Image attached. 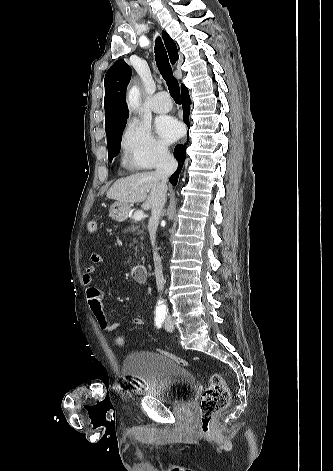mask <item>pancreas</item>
Wrapping results in <instances>:
<instances>
[{
  "label": "pancreas",
  "mask_w": 333,
  "mask_h": 471,
  "mask_svg": "<svg viewBox=\"0 0 333 471\" xmlns=\"http://www.w3.org/2000/svg\"><path fill=\"white\" fill-rule=\"evenodd\" d=\"M133 219V218H132ZM132 225L124 229V233H132L134 235H140L144 232V228H142L140 225H136V221L132 220L131 221ZM142 238V237H141ZM134 243H136V239H133Z\"/></svg>",
  "instance_id": "cf45deb5"
}]
</instances>
